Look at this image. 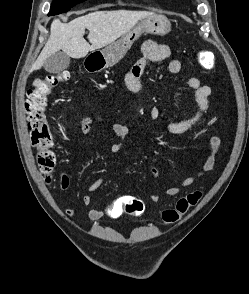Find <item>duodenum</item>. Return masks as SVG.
Listing matches in <instances>:
<instances>
[{
  "instance_id": "duodenum-1",
  "label": "duodenum",
  "mask_w": 249,
  "mask_h": 294,
  "mask_svg": "<svg viewBox=\"0 0 249 294\" xmlns=\"http://www.w3.org/2000/svg\"><path fill=\"white\" fill-rule=\"evenodd\" d=\"M87 69L91 72H94V71L98 70V66H93V67L87 66Z\"/></svg>"
}]
</instances>
